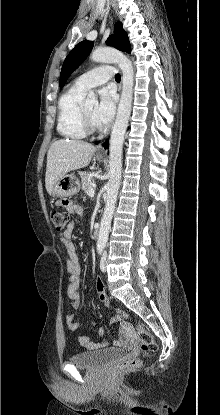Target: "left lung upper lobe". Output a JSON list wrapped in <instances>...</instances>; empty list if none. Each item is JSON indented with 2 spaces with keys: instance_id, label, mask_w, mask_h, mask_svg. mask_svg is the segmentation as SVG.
Here are the masks:
<instances>
[{
  "instance_id": "5c2ea615",
  "label": "left lung upper lobe",
  "mask_w": 220,
  "mask_h": 415,
  "mask_svg": "<svg viewBox=\"0 0 220 415\" xmlns=\"http://www.w3.org/2000/svg\"><path fill=\"white\" fill-rule=\"evenodd\" d=\"M106 44L114 46L116 49L120 51L128 53L131 52L129 39L126 32L123 29L122 23H116L114 28V34L107 39ZM92 48L93 42L85 40L78 43L74 47V49L68 54L63 63L60 74V88H62L65 85L66 80L71 75V73L74 70H76L80 66V64L85 60V58L91 52Z\"/></svg>"
}]
</instances>
